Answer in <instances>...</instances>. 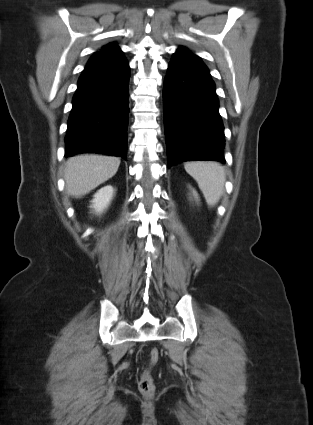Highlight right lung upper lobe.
<instances>
[{
	"label": "right lung upper lobe",
	"mask_w": 313,
	"mask_h": 425,
	"mask_svg": "<svg viewBox=\"0 0 313 425\" xmlns=\"http://www.w3.org/2000/svg\"><path fill=\"white\" fill-rule=\"evenodd\" d=\"M102 55V56H110V57H124L121 49L116 45V43L112 42L102 47V49L95 53L93 56Z\"/></svg>",
	"instance_id": "right-lung-upper-lobe-1"
}]
</instances>
